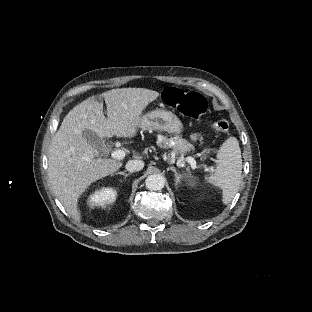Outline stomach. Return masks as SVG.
I'll use <instances>...</instances> for the list:
<instances>
[{
	"instance_id": "obj_1",
	"label": "stomach",
	"mask_w": 312,
	"mask_h": 312,
	"mask_svg": "<svg viewBox=\"0 0 312 312\" xmlns=\"http://www.w3.org/2000/svg\"><path fill=\"white\" fill-rule=\"evenodd\" d=\"M140 127L146 130L166 131L175 135L184 131V125L176 114L165 109H156L145 114Z\"/></svg>"
}]
</instances>
